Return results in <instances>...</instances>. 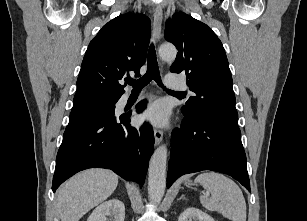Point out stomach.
<instances>
[{
    "mask_svg": "<svg viewBox=\"0 0 307 221\" xmlns=\"http://www.w3.org/2000/svg\"><path fill=\"white\" fill-rule=\"evenodd\" d=\"M185 184H186L187 186H189V185H191L192 183H191L190 180H187V181L185 182Z\"/></svg>",
    "mask_w": 307,
    "mask_h": 221,
    "instance_id": "obj_1",
    "label": "stomach"
}]
</instances>
